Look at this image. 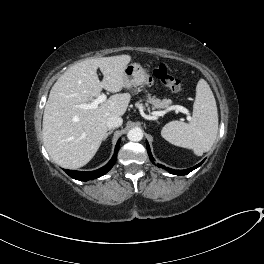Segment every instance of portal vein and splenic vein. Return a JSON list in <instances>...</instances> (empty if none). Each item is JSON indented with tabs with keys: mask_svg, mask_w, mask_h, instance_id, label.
Returning a JSON list of instances; mask_svg holds the SVG:
<instances>
[{
	"mask_svg": "<svg viewBox=\"0 0 264 264\" xmlns=\"http://www.w3.org/2000/svg\"><path fill=\"white\" fill-rule=\"evenodd\" d=\"M106 99H107V96L105 94H101L96 99H94L91 103L81 104L80 107L83 109H96L98 107V105L105 102ZM171 110H175L176 112H182L184 114H187L188 115L187 120L188 121L191 120V116H189V111L185 107L180 106V105L171 106V107H169L163 111H155V112H153V115L163 116Z\"/></svg>",
	"mask_w": 264,
	"mask_h": 264,
	"instance_id": "obj_1",
	"label": "portal vein and splenic vein"
}]
</instances>
